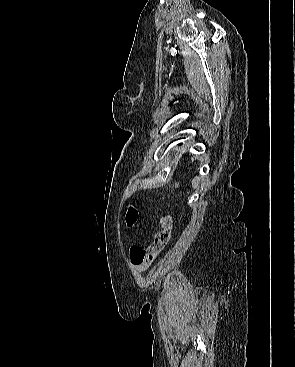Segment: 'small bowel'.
<instances>
[{
	"label": "small bowel",
	"instance_id": "1",
	"mask_svg": "<svg viewBox=\"0 0 295 367\" xmlns=\"http://www.w3.org/2000/svg\"><path fill=\"white\" fill-rule=\"evenodd\" d=\"M135 265V264H134ZM149 267V264H142V265H135V268L137 269V271L139 272H143L145 271L147 268Z\"/></svg>",
	"mask_w": 295,
	"mask_h": 367
}]
</instances>
